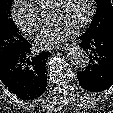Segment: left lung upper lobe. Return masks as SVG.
Returning <instances> with one entry per match:
<instances>
[{"mask_svg": "<svg viewBox=\"0 0 113 113\" xmlns=\"http://www.w3.org/2000/svg\"><path fill=\"white\" fill-rule=\"evenodd\" d=\"M97 11L85 33H99L103 30H113V6L110 0H95Z\"/></svg>", "mask_w": 113, "mask_h": 113, "instance_id": "left-lung-upper-lobe-1", "label": "left lung upper lobe"}]
</instances>
